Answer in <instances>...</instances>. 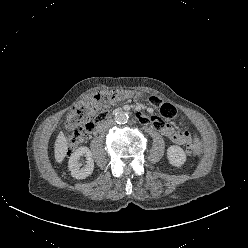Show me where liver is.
I'll list each match as a JSON object with an SVG mask.
<instances>
[{"mask_svg":"<svg viewBox=\"0 0 248 248\" xmlns=\"http://www.w3.org/2000/svg\"><path fill=\"white\" fill-rule=\"evenodd\" d=\"M67 152V141L62 132L59 133L54 146L55 160L60 163L66 156Z\"/></svg>","mask_w":248,"mask_h":248,"instance_id":"obj_1","label":"liver"}]
</instances>
